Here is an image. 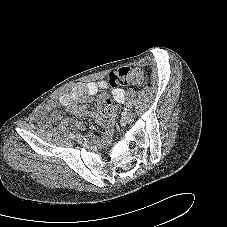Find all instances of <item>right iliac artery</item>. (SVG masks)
Here are the masks:
<instances>
[{"mask_svg":"<svg viewBox=\"0 0 227 227\" xmlns=\"http://www.w3.org/2000/svg\"><path fill=\"white\" fill-rule=\"evenodd\" d=\"M69 136H70V138H74L75 137V134L72 133V132H70Z\"/></svg>","mask_w":227,"mask_h":227,"instance_id":"82829eb1","label":"right iliac artery"}]
</instances>
